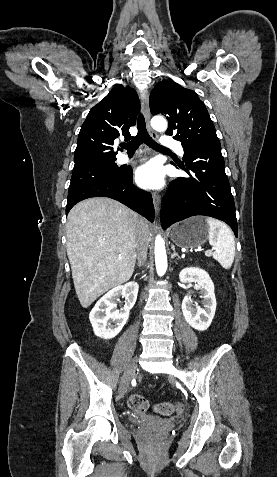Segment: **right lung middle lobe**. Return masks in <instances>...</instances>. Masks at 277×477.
<instances>
[{"instance_id": "dd1d6c3e", "label": "right lung middle lobe", "mask_w": 277, "mask_h": 477, "mask_svg": "<svg viewBox=\"0 0 277 477\" xmlns=\"http://www.w3.org/2000/svg\"><path fill=\"white\" fill-rule=\"evenodd\" d=\"M126 171L127 170L119 168L115 163V160L75 167L72 172L69 193L95 181L104 179H123Z\"/></svg>"}]
</instances>
